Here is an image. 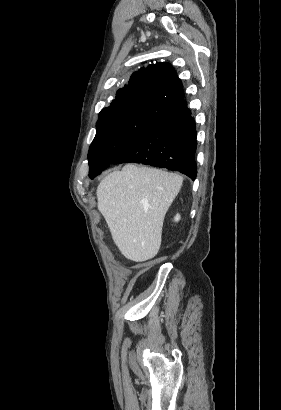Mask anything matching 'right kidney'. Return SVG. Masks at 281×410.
I'll return each mask as SVG.
<instances>
[{
    "label": "right kidney",
    "instance_id": "right-kidney-1",
    "mask_svg": "<svg viewBox=\"0 0 281 410\" xmlns=\"http://www.w3.org/2000/svg\"><path fill=\"white\" fill-rule=\"evenodd\" d=\"M179 220H180V215L177 214V215L174 217V221L178 222Z\"/></svg>",
    "mask_w": 281,
    "mask_h": 410
}]
</instances>
